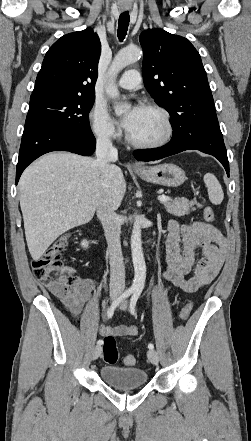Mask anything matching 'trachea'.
<instances>
[{
    "label": "trachea",
    "mask_w": 251,
    "mask_h": 441,
    "mask_svg": "<svg viewBox=\"0 0 251 441\" xmlns=\"http://www.w3.org/2000/svg\"><path fill=\"white\" fill-rule=\"evenodd\" d=\"M129 21H130V17L128 11H125L120 14L118 21V30H117V36L120 41H123L127 34Z\"/></svg>",
    "instance_id": "3493384b"
}]
</instances>
